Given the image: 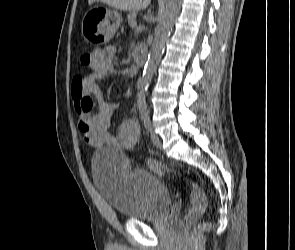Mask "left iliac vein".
Segmentation results:
<instances>
[{
	"mask_svg": "<svg viewBox=\"0 0 295 250\" xmlns=\"http://www.w3.org/2000/svg\"><path fill=\"white\" fill-rule=\"evenodd\" d=\"M148 129H149V133H150V136H151V139H152V142H153L154 146L157 149L162 150V141H161V139L155 134L152 127H149Z\"/></svg>",
	"mask_w": 295,
	"mask_h": 250,
	"instance_id": "1",
	"label": "left iliac vein"
}]
</instances>
